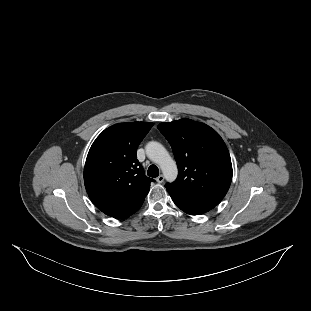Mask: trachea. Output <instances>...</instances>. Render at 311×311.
I'll return each instance as SVG.
<instances>
[{"instance_id": "obj_1", "label": "trachea", "mask_w": 311, "mask_h": 311, "mask_svg": "<svg viewBox=\"0 0 311 311\" xmlns=\"http://www.w3.org/2000/svg\"><path fill=\"white\" fill-rule=\"evenodd\" d=\"M149 177L156 178L159 175V169L156 165H150L147 171Z\"/></svg>"}]
</instances>
